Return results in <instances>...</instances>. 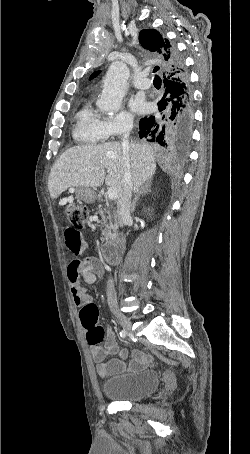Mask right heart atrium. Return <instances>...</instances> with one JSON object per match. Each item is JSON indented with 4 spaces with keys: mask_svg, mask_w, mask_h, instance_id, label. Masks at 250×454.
<instances>
[{
    "mask_svg": "<svg viewBox=\"0 0 250 454\" xmlns=\"http://www.w3.org/2000/svg\"><path fill=\"white\" fill-rule=\"evenodd\" d=\"M133 123L134 120L130 114L121 112L111 119L104 120L103 127L107 137L114 138L129 131Z\"/></svg>",
    "mask_w": 250,
    "mask_h": 454,
    "instance_id": "right-heart-atrium-1",
    "label": "right heart atrium"
}]
</instances>
